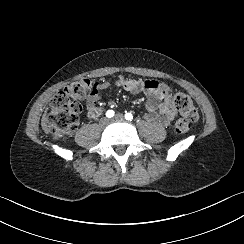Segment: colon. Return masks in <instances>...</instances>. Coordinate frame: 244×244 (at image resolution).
Segmentation results:
<instances>
[{
    "label": "colon",
    "mask_w": 244,
    "mask_h": 244,
    "mask_svg": "<svg viewBox=\"0 0 244 244\" xmlns=\"http://www.w3.org/2000/svg\"><path fill=\"white\" fill-rule=\"evenodd\" d=\"M90 89L91 82L87 78H79L54 96L46 122L55 139H65L76 130L82 111L79 100L83 99ZM173 102L180 110L174 130L177 135H182L198 120L199 114L192 99L184 93H175Z\"/></svg>",
    "instance_id": "obj_1"
}]
</instances>
